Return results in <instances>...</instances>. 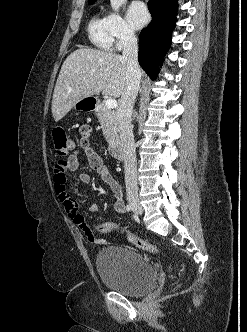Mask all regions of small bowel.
<instances>
[{"label": "small bowel", "instance_id": "1", "mask_svg": "<svg viewBox=\"0 0 247 332\" xmlns=\"http://www.w3.org/2000/svg\"><path fill=\"white\" fill-rule=\"evenodd\" d=\"M80 135V149L70 154L66 160H59L55 164L53 177L54 190L68 216L75 223V225L83 231L87 240L94 244H102L104 240L95 235L85 217L78 212L77 202L67 189V174H77L82 183H90L91 176L88 173L78 172L79 158L81 155H84L88 160L89 166L96 171L101 179L110 187L114 195L113 209L118 214L124 213L126 209L123 200V193L119 182L110 174L102 158L91 146V128L88 125L81 126ZM89 210L92 213L96 212L97 205L92 204Z\"/></svg>", "mask_w": 247, "mask_h": 332}]
</instances>
